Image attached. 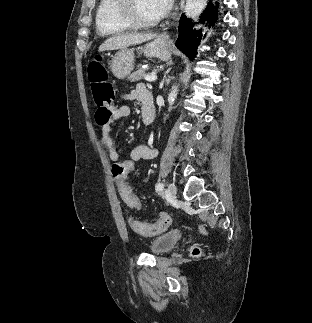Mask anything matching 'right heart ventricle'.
Masks as SVG:
<instances>
[{"mask_svg": "<svg viewBox=\"0 0 312 323\" xmlns=\"http://www.w3.org/2000/svg\"><path fill=\"white\" fill-rule=\"evenodd\" d=\"M94 24L100 33H118L119 29H130L128 18H123L116 0H97L94 9Z\"/></svg>", "mask_w": 312, "mask_h": 323, "instance_id": "obj_1", "label": "right heart ventricle"}]
</instances>
